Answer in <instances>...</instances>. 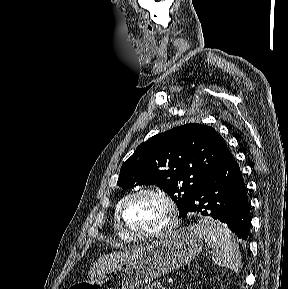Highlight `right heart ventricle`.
<instances>
[{"label": "right heart ventricle", "mask_w": 288, "mask_h": 289, "mask_svg": "<svg viewBox=\"0 0 288 289\" xmlns=\"http://www.w3.org/2000/svg\"><path fill=\"white\" fill-rule=\"evenodd\" d=\"M130 194H125L123 195L115 204V207L113 209V213H112V222H113V227L115 230V233L117 235V237L122 240L123 242L126 243H132L135 241V239H132L131 237H129L125 232H123V230L120 228L119 223H118V219H117V213L119 210V207L121 206V204L123 203V201L129 196Z\"/></svg>", "instance_id": "right-heart-ventricle-1"}]
</instances>
